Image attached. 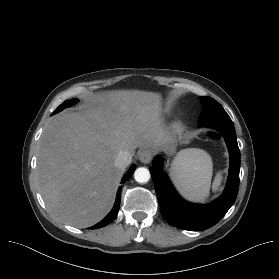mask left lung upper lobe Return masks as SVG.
<instances>
[{
	"label": "left lung upper lobe",
	"instance_id": "obj_1",
	"mask_svg": "<svg viewBox=\"0 0 279 279\" xmlns=\"http://www.w3.org/2000/svg\"><path fill=\"white\" fill-rule=\"evenodd\" d=\"M203 109L200 113L198 124L210 121H231L223 107L211 97H200Z\"/></svg>",
	"mask_w": 279,
	"mask_h": 279
}]
</instances>
